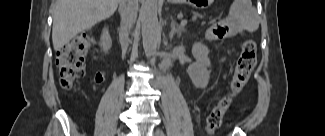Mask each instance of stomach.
Here are the masks:
<instances>
[{"label": "stomach", "mask_w": 325, "mask_h": 136, "mask_svg": "<svg viewBox=\"0 0 325 136\" xmlns=\"http://www.w3.org/2000/svg\"><path fill=\"white\" fill-rule=\"evenodd\" d=\"M173 3L188 4L192 7L203 9L208 7L213 0H170Z\"/></svg>", "instance_id": "stomach-1"}]
</instances>
